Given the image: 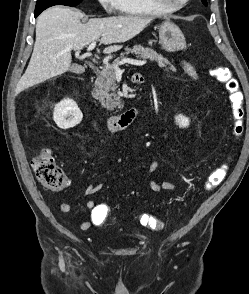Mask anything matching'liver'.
Masks as SVG:
<instances>
[{"mask_svg":"<svg viewBox=\"0 0 249 294\" xmlns=\"http://www.w3.org/2000/svg\"><path fill=\"white\" fill-rule=\"evenodd\" d=\"M84 14L63 6L45 10L37 19L36 40L29 65L19 80L16 93L64 74L71 66V51L83 49L92 41L110 45L105 54L121 49L124 43L139 34L150 18L112 16L90 19L82 23Z\"/></svg>","mask_w":249,"mask_h":294,"instance_id":"liver-1","label":"liver"}]
</instances>
